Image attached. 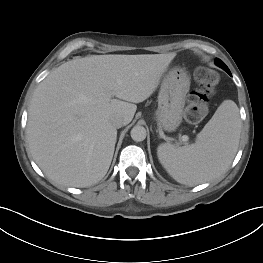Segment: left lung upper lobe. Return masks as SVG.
Wrapping results in <instances>:
<instances>
[{
	"mask_svg": "<svg viewBox=\"0 0 263 263\" xmlns=\"http://www.w3.org/2000/svg\"><path fill=\"white\" fill-rule=\"evenodd\" d=\"M215 64L218 65L219 67H221L222 69H224L229 75H231L230 70H229L228 67L224 64L223 61H221L220 59L216 58V59H215Z\"/></svg>",
	"mask_w": 263,
	"mask_h": 263,
	"instance_id": "obj_1",
	"label": "left lung upper lobe"
}]
</instances>
